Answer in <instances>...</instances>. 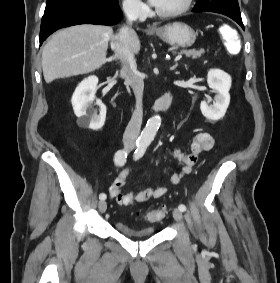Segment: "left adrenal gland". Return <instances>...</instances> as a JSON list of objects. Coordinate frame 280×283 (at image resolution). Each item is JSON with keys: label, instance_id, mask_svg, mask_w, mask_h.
<instances>
[{"label": "left adrenal gland", "instance_id": "obj_1", "mask_svg": "<svg viewBox=\"0 0 280 283\" xmlns=\"http://www.w3.org/2000/svg\"><path fill=\"white\" fill-rule=\"evenodd\" d=\"M176 67H177V64L173 65V66L171 67V70H175Z\"/></svg>", "mask_w": 280, "mask_h": 283}]
</instances>
